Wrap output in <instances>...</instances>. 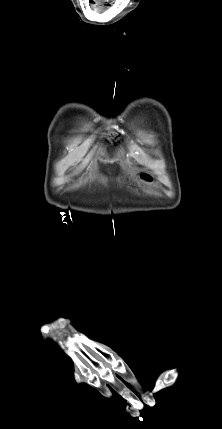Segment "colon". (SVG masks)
<instances>
[{
    "label": "colon",
    "mask_w": 222,
    "mask_h": 429,
    "mask_svg": "<svg viewBox=\"0 0 222 429\" xmlns=\"http://www.w3.org/2000/svg\"><path fill=\"white\" fill-rule=\"evenodd\" d=\"M142 178L144 179V180H150V176L149 175H147V174H143L142 175Z\"/></svg>",
    "instance_id": "colon-1"
}]
</instances>
